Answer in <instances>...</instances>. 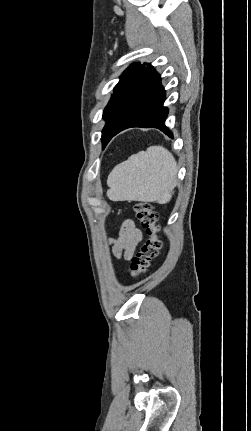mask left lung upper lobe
Segmentation results:
<instances>
[{"label":"left lung upper lobe","mask_w":251,"mask_h":431,"mask_svg":"<svg viewBox=\"0 0 251 431\" xmlns=\"http://www.w3.org/2000/svg\"><path fill=\"white\" fill-rule=\"evenodd\" d=\"M146 65L147 67L145 64H132L123 72L120 81L114 87V93L103 112V119L106 120L101 137L103 148L152 72L153 67L150 64Z\"/></svg>","instance_id":"left-lung-upper-lobe-1"}]
</instances>
